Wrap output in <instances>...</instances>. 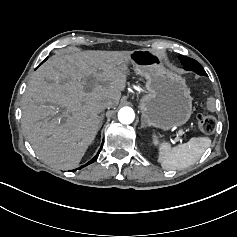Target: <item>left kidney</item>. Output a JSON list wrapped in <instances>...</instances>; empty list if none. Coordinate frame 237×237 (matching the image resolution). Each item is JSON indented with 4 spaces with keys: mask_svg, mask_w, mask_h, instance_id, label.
I'll return each mask as SVG.
<instances>
[{
    "mask_svg": "<svg viewBox=\"0 0 237 237\" xmlns=\"http://www.w3.org/2000/svg\"><path fill=\"white\" fill-rule=\"evenodd\" d=\"M152 137L154 145H158L159 144L158 136L155 133H153Z\"/></svg>",
    "mask_w": 237,
    "mask_h": 237,
    "instance_id": "obj_1",
    "label": "left kidney"
}]
</instances>
